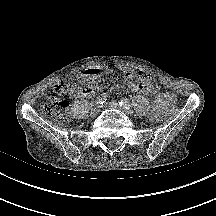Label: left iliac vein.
I'll use <instances>...</instances> for the list:
<instances>
[{"instance_id":"4c4485c4","label":"left iliac vein","mask_w":216,"mask_h":216,"mask_svg":"<svg viewBox=\"0 0 216 216\" xmlns=\"http://www.w3.org/2000/svg\"><path fill=\"white\" fill-rule=\"evenodd\" d=\"M107 106L110 107V108H113V109H118V110H121L123 111L124 113L126 114H131L132 111L130 108H125V107H121L117 102L115 101H111L109 103H107Z\"/></svg>"}]
</instances>
